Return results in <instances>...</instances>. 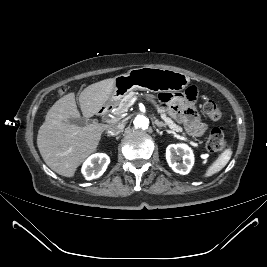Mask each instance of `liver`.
<instances>
[{
  "instance_id": "6515ba94",
  "label": "liver",
  "mask_w": 267,
  "mask_h": 267,
  "mask_svg": "<svg viewBox=\"0 0 267 267\" xmlns=\"http://www.w3.org/2000/svg\"><path fill=\"white\" fill-rule=\"evenodd\" d=\"M115 78L105 79L86 87L79 95V104L85 118L97 114L109 100ZM75 94L61 97L49 109L37 135V145L47 166L65 177H73L77 167L99 145L108 125L92 123L83 127L69 123V118H80Z\"/></svg>"
}]
</instances>
